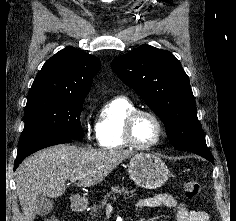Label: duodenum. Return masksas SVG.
Returning <instances> with one entry per match:
<instances>
[{"instance_id": "1", "label": "duodenum", "mask_w": 236, "mask_h": 221, "mask_svg": "<svg viewBox=\"0 0 236 221\" xmlns=\"http://www.w3.org/2000/svg\"><path fill=\"white\" fill-rule=\"evenodd\" d=\"M72 208L75 212H78V213L85 210V206L81 202H78V201H75L73 203Z\"/></svg>"}]
</instances>
